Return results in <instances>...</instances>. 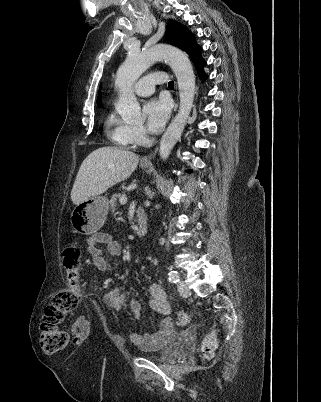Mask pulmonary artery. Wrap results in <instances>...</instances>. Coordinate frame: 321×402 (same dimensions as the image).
<instances>
[{
  "mask_svg": "<svg viewBox=\"0 0 321 402\" xmlns=\"http://www.w3.org/2000/svg\"><path fill=\"white\" fill-rule=\"evenodd\" d=\"M167 75L163 72H155L139 79L133 90L140 96H149L154 92L155 85H163L167 82Z\"/></svg>",
  "mask_w": 321,
  "mask_h": 402,
  "instance_id": "obj_1",
  "label": "pulmonary artery"
}]
</instances>
